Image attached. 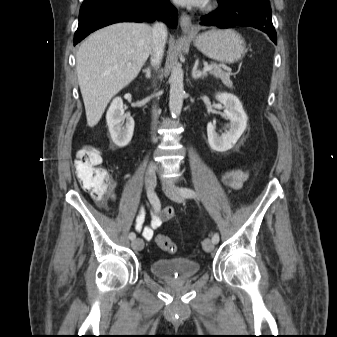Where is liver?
<instances>
[{"mask_svg":"<svg viewBox=\"0 0 337 337\" xmlns=\"http://www.w3.org/2000/svg\"><path fill=\"white\" fill-rule=\"evenodd\" d=\"M153 48L144 23H117L90 35L76 55L87 124L94 127L109 101L139 74Z\"/></svg>","mask_w":337,"mask_h":337,"instance_id":"liver-1","label":"liver"}]
</instances>
